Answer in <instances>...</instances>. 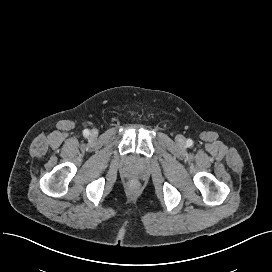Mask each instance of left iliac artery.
<instances>
[{"label": "left iliac artery", "instance_id": "obj_1", "mask_svg": "<svg viewBox=\"0 0 272 272\" xmlns=\"http://www.w3.org/2000/svg\"><path fill=\"white\" fill-rule=\"evenodd\" d=\"M186 144L188 147H191V146H193V141L191 139H188Z\"/></svg>", "mask_w": 272, "mask_h": 272}]
</instances>
